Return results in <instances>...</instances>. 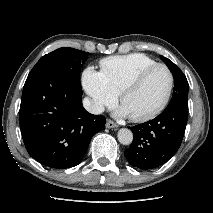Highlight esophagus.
<instances>
[{"mask_svg":"<svg viewBox=\"0 0 213 213\" xmlns=\"http://www.w3.org/2000/svg\"><path fill=\"white\" fill-rule=\"evenodd\" d=\"M106 127L109 129H117L118 125L115 122H113L112 120L108 119L106 122Z\"/></svg>","mask_w":213,"mask_h":213,"instance_id":"esophagus-1","label":"esophagus"}]
</instances>
